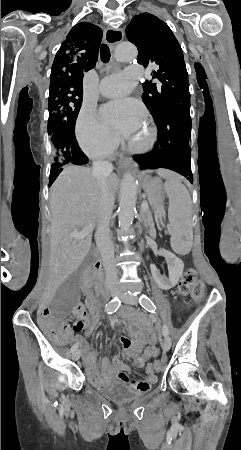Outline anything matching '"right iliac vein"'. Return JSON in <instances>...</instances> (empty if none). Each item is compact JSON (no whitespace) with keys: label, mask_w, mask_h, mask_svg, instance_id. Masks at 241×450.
Instances as JSON below:
<instances>
[{"label":"right iliac vein","mask_w":241,"mask_h":450,"mask_svg":"<svg viewBox=\"0 0 241 450\" xmlns=\"http://www.w3.org/2000/svg\"><path fill=\"white\" fill-rule=\"evenodd\" d=\"M118 292L119 291H117V290H114L113 292H112V296H116L117 294H118ZM80 356H81V350L80 349H78V350H75V352L73 353V355H72V358H73V360H78L79 358H80Z\"/></svg>","instance_id":"1"}]
</instances>
